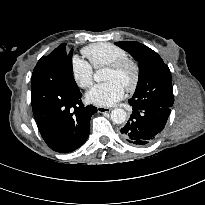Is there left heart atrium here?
I'll use <instances>...</instances> for the list:
<instances>
[{
  "label": "left heart atrium",
  "instance_id": "left-heart-atrium-1",
  "mask_svg": "<svg viewBox=\"0 0 205 205\" xmlns=\"http://www.w3.org/2000/svg\"><path fill=\"white\" fill-rule=\"evenodd\" d=\"M124 96V86L109 80L94 86L86 95L87 102L97 106H112Z\"/></svg>",
  "mask_w": 205,
  "mask_h": 205
}]
</instances>
